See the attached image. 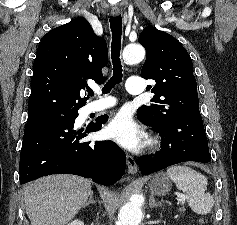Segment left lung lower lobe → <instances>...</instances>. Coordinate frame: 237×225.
I'll return each mask as SVG.
<instances>
[{
    "label": "left lung lower lobe",
    "instance_id": "1",
    "mask_svg": "<svg viewBox=\"0 0 237 225\" xmlns=\"http://www.w3.org/2000/svg\"><path fill=\"white\" fill-rule=\"evenodd\" d=\"M161 151L154 157L142 156V174H150L185 161L208 163L210 154L199 108L193 109L170 126L159 131Z\"/></svg>",
    "mask_w": 237,
    "mask_h": 225
}]
</instances>
